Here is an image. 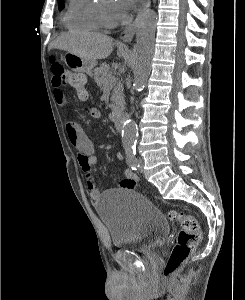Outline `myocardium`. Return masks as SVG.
Segmentation results:
<instances>
[{"label":"myocardium","mask_w":245,"mask_h":300,"mask_svg":"<svg viewBox=\"0 0 245 300\" xmlns=\"http://www.w3.org/2000/svg\"><path fill=\"white\" fill-rule=\"evenodd\" d=\"M101 16L103 24L107 27H114L118 24L119 17L111 13L106 6L101 7Z\"/></svg>","instance_id":"myocardium-1"}]
</instances>
